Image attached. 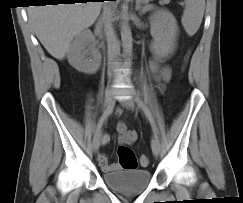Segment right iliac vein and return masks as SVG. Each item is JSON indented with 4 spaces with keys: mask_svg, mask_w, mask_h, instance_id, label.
Returning <instances> with one entry per match:
<instances>
[{
    "mask_svg": "<svg viewBox=\"0 0 243 203\" xmlns=\"http://www.w3.org/2000/svg\"><path fill=\"white\" fill-rule=\"evenodd\" d=\"M114 94H115V92H114L113 88L107 89L106 94H105V99H104V103H105L106 107H108L109 105L112 104ZM99 147H100V133H97L93 139L94 152H97L99 150Z\"/></svg>",
    "mask_w": 243,
    "mask_h": 203,
    "instance_id": "right-iliac-vein-1",
    "label": "right iliac vein"
}]
</instances>
